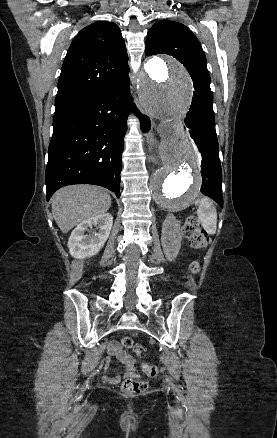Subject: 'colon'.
Masks as SVG:
<instances>
[{
    "mask_svg": "<svg viewBox=\"0 0 277 438\" xmlns=\"http://www.w3.org/2000/svg\"><path fill=\"white\" fill-rule=\"evenodd\" d=\"M183 234L189 241L191 247L195 249H203L208 245V237L205 229L198 219L188 218L183 226ZM192 274L197 275L200 272V264L195 262L190 265ZM122 345L127 348H132L137 355H140L141 348L133 345L132 340L128 337L122 339ZM143 372L150 378H156L159 375V369L152 364H144ZM147 380H121L120 388L124 395L129 398H144L145 390L148 388Z\"/></svg>",
    "mask_w": 277,
    "mask_h": 438,
    "instance_id": "5ec220e1",
    "label": "colon"
}]
</instances>
